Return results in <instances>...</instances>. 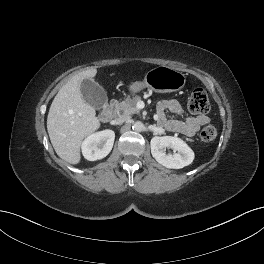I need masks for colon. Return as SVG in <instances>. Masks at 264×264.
Segmentation results:
<instances>
[{
    "instance_id": "1",
    "label": "colon",
    "mask_w": 264,
    "mask_h": 264,
    "mask_svg": "<svg viewBox=\"0 0 264 264\" xmlns=\"http://www.w3.org/2000/svg\"><path fill=\"white\" fill-rule=\"evenodd\" d=\"M188 108L194 114L204 115L210 109V103L207 93L201 89H195L189 98ZM217 136V130L213 125H206L200 132V138L204 142H211Z\"/></svg>"
}]
</instances>
